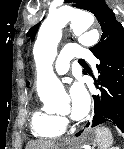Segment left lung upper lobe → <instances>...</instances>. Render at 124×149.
Returning a JSON list of instances; mask_svg holds the SVG:
<instances>
[{
  "instance_id": "obj_1",
  "label": "left lung upper lobe",
  "mask_w": 124,
  "mask_h": 149,
  "mask_svg": "<svg viewBox=\"0 0 124 149\" xmlns=\"http://www.w3.org/2000/svg\"><path fill=\"white\" fill-rule=\"evenodd\" d=\"M72 2V6L90 11L97 18L102 36L98 44L90 48L94 55L112 51L124 46V29L119 23L113 11L106 5L104 0H66ZM40 23L34 25L27 33V36L34 39ZM84 74H87L84 72ZM29 85V83L27 84Z\"/></svg>"
}]
</instances>
